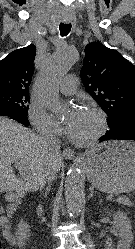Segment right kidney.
<instances>
[{"label": "right kidney", "mask_w": 135, "mask_h": 249, "mask_svg": "<svg viewBox=\"0 0 135 249\" xmlns=\"http://www.w3.org/2000/svg\"><path fill=\"white\" fill-rule=\"evenodd\" d=\"M30 227L21 222L18 226V231L16 233L17 244L19 247H24L26 245V239L30 236Z\"/></svg>", "instance_id": "1"}]
</instances>
